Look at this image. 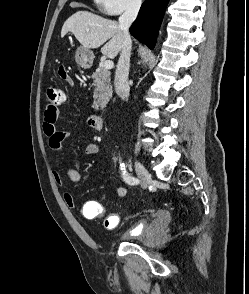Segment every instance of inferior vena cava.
Instances as JSON below:
<instances>
[{
    "mask_svg": "<svg viewBox=\"0 0 249 294\" xmlns=\"http://www.w3.org/2000/svg\"><path fill=\"white\" fill-rule=\"evenodd\" d=\"M141 6V0H132L127 6L125 12L119 17V28L122 31V48L118 64L115 71V91L123 100H128L130 87L128 84V75L130 67V55L132 41L129 34V28L136 19Z\"/></svg>",
    "mask_w": 249,
    "mask_h": 294,
    "instance_id": "602c4592",
    "label": "inferior vena cava"
}]
</instances>
